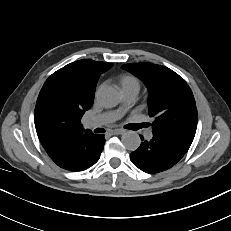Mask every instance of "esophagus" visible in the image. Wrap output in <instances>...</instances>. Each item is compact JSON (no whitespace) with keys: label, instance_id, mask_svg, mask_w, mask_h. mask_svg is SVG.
Listing matches in <instances>:
<instances>
[{"label":"esophagus","instance_id":"obj_1","mask_svg":"<svg viewBox=\"0 0 231 231\" xmlns=\"http://www.w3.org/2000/svg\"><path fill=\"white\" fill-rule=\"evenodd\" d=\"M124 133V130L123 129H115V130H112L110 131V135H119V134H123Z\"/></svg>","mask_w":231,"mask_h":231}]
</instances>
